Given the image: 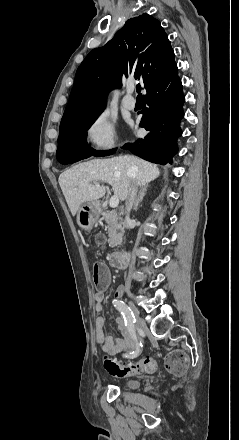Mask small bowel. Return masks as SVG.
Listing matches in <instances>:
<instances>
[{"instance_id":"c3829d8e","label":"small bowel","mask_w":239,"mask_h":440,"mask_svg":"<svg viewBox=\"0 0 239 440\" xmlns=\"http://www.w3.org/2000/svg\"><path fill=\"white\" fill-rule=\"evenodd\" d=\"M106 268V266H105ZM107 270V275L109 278V272ZM108 282V281H107ZM106 286V285H105ZM104 286V287H105ZM104 302V293L103 291H99L94 295V304L97 312H101L103 309ZM105 320L102 316H99L95 320V328H96V340L99 345H101L102 350L110 355H115L118 353H123L129 351L133 347L132 337L128 330V327L125 325V321L122 317L116 318L117 328L120 334V337L117 339H113L108 336L104 330Z\"/></svg>"}]
</instances>
